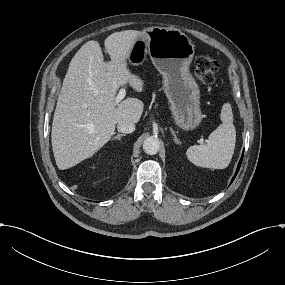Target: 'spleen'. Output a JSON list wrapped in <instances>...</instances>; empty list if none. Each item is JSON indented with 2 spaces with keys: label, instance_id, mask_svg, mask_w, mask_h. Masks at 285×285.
Wrapping results in <instances>:
<instances>
[{
  "label": "spleen",
  "instance_id": "1",
  "mask_svg": "<svg viewBox=\"0 0 285 285\" xmlns=\"http://www.w3.org/2000/svg\"><path fill=\"white\" fill-rule=\"evenodd\" d=\"M221 119L223 124L209 135L205 145L191 146L187 149V159L195 166L225 169L229 165L236 143V131L229 104L224 105Z\"/></svg>",
  "mask_w": 285,
  "mask_h": 285
}]
</instances>
